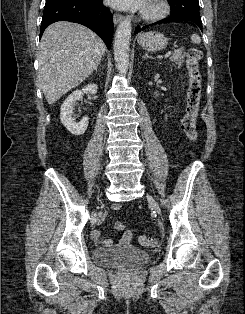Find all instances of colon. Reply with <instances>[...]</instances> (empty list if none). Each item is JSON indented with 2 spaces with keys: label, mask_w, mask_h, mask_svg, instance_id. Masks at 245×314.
Instances as JSON below:
<instances>
[{
  "label": "colon",
  "mask_w": 245,
  "mask_h": 314,
  "mask_svg": "<svg viewBox=\"0 0 245 314\" xmlns=\"http://www.w3.org/2000/svg\"><path fill=\"white\" fill-rule=\"evenodd\" d=\"M202 58V52L197 48H190L187 52L186 67L189 72L190 83L187 92L186 112L182 119V129L186 136L196 141L198 133L196 130V119L199 110L201 97V75L199 71V61ZM123 228L124 224H120ZM143 246L153 247L157 244V240L152 236L142 235L138 239Z\"/></svg>",
  "instance_id": "5ec220e1"
}]
</instances>
